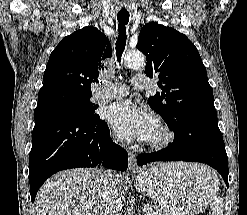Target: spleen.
Segmentation results:
<instances>
[{"instance_id": "3e777b00", "label": "spleen", "mask_w": 247, "mask_h": 215, "mask_svg": "<svg viewBox=\"0 0 247 215\" xmlns=\"http://www.w3.org/2000/svg\"><path fill=\"white\" fill-rule=\"evenodd\" d=\"M212 215H223V200L216 198L212 205Z\"/></svg>"}]
</instances>
